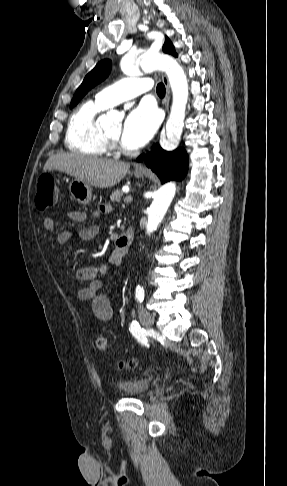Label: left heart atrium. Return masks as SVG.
Wrapping results in <instances>:
<instances>
[{
  "instance_id": "obj_1",
  "label": "left heart atrium",
  "mask_w": 287,
  "mask_h": 486,
  "mask_svg": "<svg viewBox=\"0 0 287 486\" xmlns=\"http://www.w3.org/2000/svg\"><path fill=\"white\" fill-rule=\"evenodd\" d=\"M159 125V116L155 108L141 104L125 118L121 132V143L127 149L144 146L154 135Z\"/></svg>"
}]
</instances>
